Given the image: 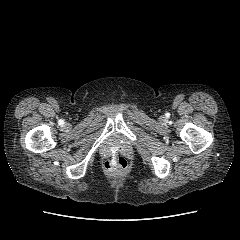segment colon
<instances>
[{
    "label": "colon",
    "instance_id": "obj_1",
    "mask_svg": "<svg viewBox=\"0 0 240 240\" xmlns=\"http://www.w3.org/2000/svg\"><path fill=\"white\" fill-rule=\"evenodd\" d=\"M128 162L125 157L120 154L113 155L110 159L105 162V169L108 172L123 171L127 168Z\"/></svg>",
    "mask_w": 240,
    "mask_h": 240
}]
</instances>
